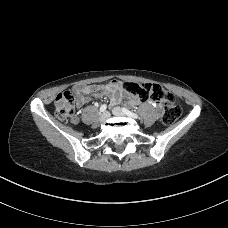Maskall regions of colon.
<instances>
[{"label": "colon", "instance_id": "obj_1", "mask_svg": "<svg viewBox=\"0 0 228 228\" xmlns=\"http://www.w3.org/2000/svg\"><path fill=\"white\" fill-rule=\"evenodd\" d=\"M124 89L141 100L160 101L164 104L162 121L165 124L175 122L182 113L180 104L160 86L151 83L126 82ZM75 97L71 91L59 93L54 101L55 115L61 121L72 118L75 114Z\"/></svg>", "mask_w": 228, "mask_h": 228}]
</instances>
